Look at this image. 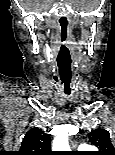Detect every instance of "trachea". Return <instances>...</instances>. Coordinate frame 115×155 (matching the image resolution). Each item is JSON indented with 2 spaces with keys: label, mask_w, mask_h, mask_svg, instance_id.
<instances>
[{
  "label": "trachea",
  "mask_w": 115,
  "mask_h": 155,
  "mask_svg": "<svg viewBox=\"0 0 115 155\" xmlns=\"http://www.w3.org/2000/svg\"><path fill=\"white\" fill-rule=\"evenodd\" d=\"M65 90L64 96H71V87H62Z\"/></svg>",
  "instance_id": "obj_1"
}]
</instances>
